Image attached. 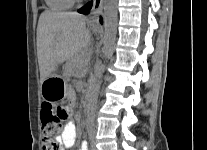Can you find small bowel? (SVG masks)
Instances as JSON below:
<instances>
[{
	"label": "small bowel",
	"instance_id": "small-bowel-1",
	"mask_svg": "<svg viewBox=\"0 0 207 150\" xmlns=\"http://www.w3.org/2000/svg\"><path fill=\"white\" fill-rule=\"evenodd\" d=\"M77 140V128L73 121L66 123L59 135L56 137V142L58 143L60 149H71L75 146ZM82 145H79V150H90V141L82 140Z\"/></svg>",
	"mask_w": 207,
	"mask_h": 150
}]
</instances>
